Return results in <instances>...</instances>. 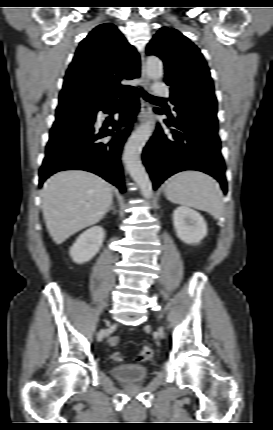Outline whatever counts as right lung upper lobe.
<instances>
[{"label":"right lung upper lobe","mask_w":273,"mask_h":430,"mask_svg":"<svg viewBox=\"0 0 273 430\" xmlns=\"http://www.w3.org/2000/svg\"><path fill=\"white\" fill-rule=\"evenodd\" d=\"M139 75L136 49L113 24H101L80 42L66 72L59 106L79 100L93 107L114 100L120 91L134 88L121 81Z\"/></svg>","instance_id":"right-lung-upper-lobe-1"}]
</instances>
